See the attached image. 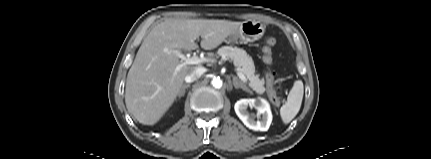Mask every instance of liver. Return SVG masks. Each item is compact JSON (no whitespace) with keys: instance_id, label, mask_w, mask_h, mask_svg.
<instances>
[{"instance_id":"6515ba94","label":"liver","mask_w":431,"mask_h":159,"mask_svg":"<svg viewBox=\"0 0 431 159\" xmlns=\"http://www.w3.org/2000/svg\"><path fill=\"white\" fill-rule=\"evenodd\" d=\"M242 22L214 19H167L144 38L129 69L125 88L128 112L141 124L154 125L179 95L185 77L197 66H184L173 51L217 48Z\"/></svg>"}]
</instances>
